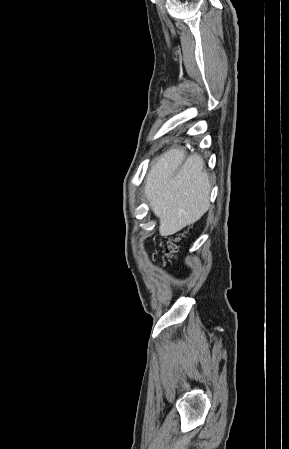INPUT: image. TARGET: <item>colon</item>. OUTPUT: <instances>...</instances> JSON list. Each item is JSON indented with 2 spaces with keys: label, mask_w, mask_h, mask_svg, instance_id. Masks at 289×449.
Segmentation results:
<instances>
[{
  "label": "colon",
  "mask_w": 289,
  "mask_h": 449,
  "mask_svg": "<svg viewBox=\"0 0 289 449\" xmlns=\"http://www.w3.org/2000/svg\"><path fill=\"white\" fill-rule=\"evenodd\" d=\"M167 250L171 254H175L178 250L177 246L172 242H167Z\"/></svg>",
  "instance_id": "5ec220e1"
}]
</instances>
